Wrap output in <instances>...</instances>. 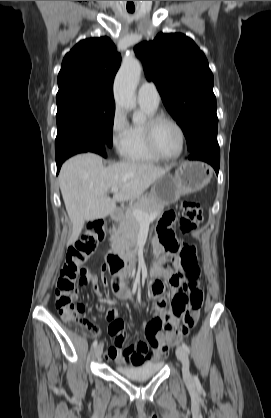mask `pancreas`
Segmentation results:
<instances>
[{
  "label": "pancreas",
  "mask_w": 271,
  "mask_h": 418,
  "mask_svg": "<svg viewBox=\"0 0 271 418\" xmlns=\"http://www.w3.org/2000/svg\"><path fill=\"white\" fill-rule=\"evenodd\" d=\"M133 209H139L148 215L154 214L157 217L163 211L164 205L154 195L148 194L124 211L118 228L113 230L112 240L127 250L130 247H135L140 230V222L133 215Z\"/></svg>",
  "instance_id": "obj_1"
}]
</instances>
